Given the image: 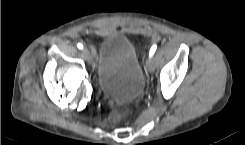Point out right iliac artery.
<instances>
[{"mask_svg":"<svg viewBox=\"0 0 245 145\" xmlns=\"http://www.w3.org/2000/svg\"><path fill=\"white\" fill-rule=\"evenodd\" d=\"M77 47H78L79 49H83V45H82L81 43H78V44H77Z\"/></svg>","mask_w":245,"mask_h":145,"instance_id":"82829eb1","label":"right iliac artery"}]
</instances>
